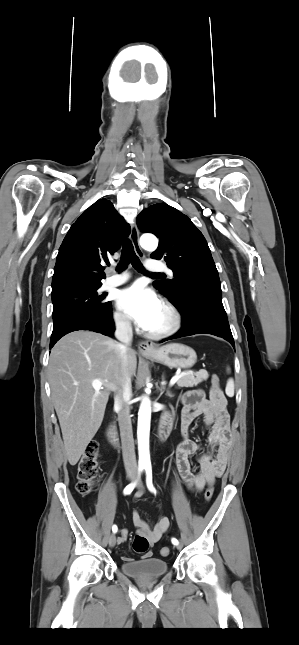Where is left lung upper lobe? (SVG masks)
<instances>
[{
	"label": "left lung upper lobe",
	"mask_w": 299,
	"mask_h": 645,
	"mask_svg": "<svg viewBox=\"0 0 299 645\" xmlns=\"http://www.w3.org/2000/svg\"><path fill=\"white\" fill-rule=\"evenodd\" d=\"M142 232L160 239L152 258H164L174 278L154 281V286L172 303L196 298L205 288L218 286L220 280L206 239L192 221L177 209L158 203L144 209L137 217Z\"/></svg>",
	"instance_id": "left-lung-upper-lobe-1"
}]
</instances>
